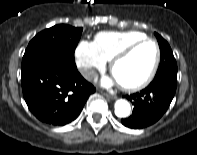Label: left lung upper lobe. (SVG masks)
Masks as SVG:
<instances>
[{
    "mask_svg": "<svg viewBox=\"0 0 197 155\" xmlns=\"http://www.w3.org/2000/svg\"><path fill=\"white\" fill-rule=\"evenodd\" d=\"M155 35L161 52L160 65L155 78L162 76L177 78V64L169 44L159 34L155 33Z\"/></svg>",
    "mask_w": 197,
    "mask_h": 155,
    "instance_id": "5c2ea615",
    "label": "left lung upper lobe"
}]
</instances>
